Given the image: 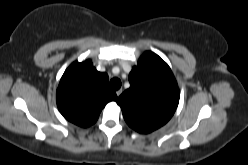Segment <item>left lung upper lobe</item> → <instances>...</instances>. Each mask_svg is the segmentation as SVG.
Here are the masks:
<instances>
[{
  "mask_svg": "<svg viewBox=\"0 0 248 165\" xmlns=\"http://www.w3.org/2000/svg\"><path fill=\"white\" fill-rule=\"evenodd\" d=\"M130 88L117 100L127 124L150 133L166 124L179 103V88L170 67L147 51L129 74Z\"/></svg>",
  "mask_w": 248,
  "mask_h": 165,
  "instance_id": "left-lung-upper-lobe-1",
  "label": "left lung upper lobe"
}]
</instances>
